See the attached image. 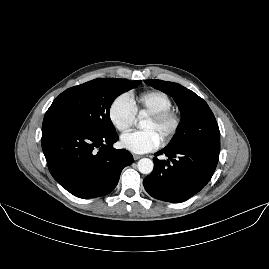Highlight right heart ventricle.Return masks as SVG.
<instances>
[{
    "label": "right heart ventricle",
    "mask_w": 269,
    "mask_h": 269,
    "mask_svg": "<svg viewBox=\"0 0 269 269\" xmlns=\"http://www.w3.org/2000/svg\"><path fill=\"white\" fill-rule=\"evenodd\" d=\"M136 114L142 116L155 111L166 110L173 107L170 96L162 91H151L141 94L134 102Z\"/></svg>",
    "instance_id": "e07e8e85"
}]
</instances>
